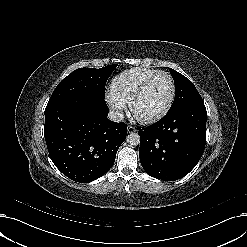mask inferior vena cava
Returning a JSON list of instances; mask_svg holds the SVG:
<instances>
[{
  "label": "inferior vena cava",
  "mask_w": 247,
  "mask_h": 247,
  "mask_svg": "<svg viewBox=\"0 0 247 247\" xmlns=\"http://www.w3.org/2000/svg\"><path fill=\"white\" fill-rule=\"evenodd\" d=\"M124 118V114L122 111L118 109H111L108 114V119L113 122H121Z\"/></svg>",
  "instance_id": "1"
}]
</instances>
